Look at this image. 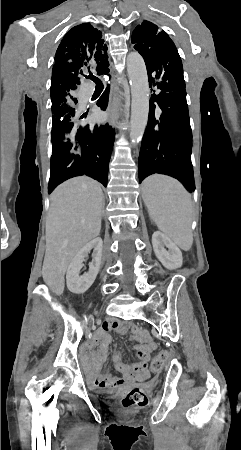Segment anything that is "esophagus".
I'll return each mask as SVG.
<instances>
[{"label": "esophagus", "instance_id": "1", "mask_svg": "<svg viewBox=\"0 0 241 450\" xmlns=\"http://www.w3.org/2000/svg\"><path fill=\"white\" fill-rule=\"evenodd\" d=\"M122 102L118 96V87H113L110 93L109 104H108V123L112 127H115L120 118V108Z\"/></svg>", "mask_w": 241, "mask_h": 450}]
</instances>
